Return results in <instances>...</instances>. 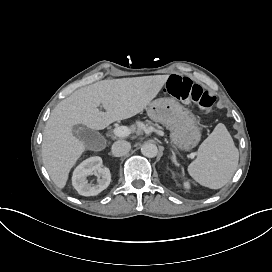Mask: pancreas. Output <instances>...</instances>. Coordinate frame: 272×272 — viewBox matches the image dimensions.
Instances as JSON below:
<instances>
[{"label": "pancreas", "mask_w": 272, "mask_h": 272, "mask_svg": "<svg viewBox=\"0 0 272 272\" xmlns=\"http://www.w3.org/2000/svg\"><path fill=\"white\" fill-rule=\"evenodd\" d=\"M147 125H152V123L150 121H148ZM154 126H156L157 128L161 129V127L158 124H154ZM138 128L141 129L140 127H138Z\"/></svg>", "instance_id": "1"}]
</instances>
